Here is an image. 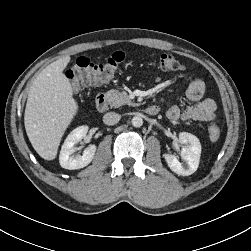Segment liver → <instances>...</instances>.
Instances as JSON below:
<instances>
[{
  "instance_id": "6515ba94",
  "label": "liver",
  "mask_w": 251,
  "mask_h": 251,
  "mask_svg": "<svg viewBox=\"0 0 251 251\" xmlns=\"http://www.w3.org/2000/svg\"><path fill=\"white\" fill-rule=\"evenodd\" d=\"M71 58H60L33 81L25 108L24 124L35 151L45 160H54L61 138L78 112L73 87L63 71Z\"/></svg>"
}]
</instances>
